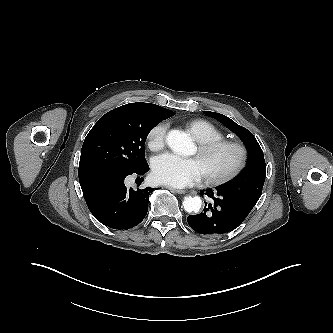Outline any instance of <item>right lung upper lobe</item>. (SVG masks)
Returning a JSON list of instances; mask_svg holds the SVG:
<instances>
[{"instance_id":"1","label":"right lung upper lobe","mask_w":333,"mask_h":333,"mask_svg":"<svg viewBox=\"0 0 333 333\" xmlns=\"http://www.w3.org/2000/svg\"><path fill=\"white\" fill-rule=\"evenodd\" d=\"M125 107H143V108H148V109H152V110H156V111H159L163 114H166V115H169V116H173L175 113L168 110V109H165L163 107H160L158 105H155V104H150V103H142V102H137V103H131V104H126V105H123Z\"/></svg>"}]
</instances>
